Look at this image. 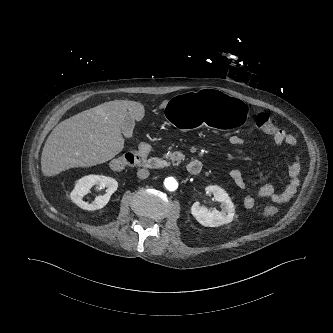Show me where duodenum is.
<instances>
[{"label":"duodenum","instance_id":"1","mask_svg":"<svg viewBox=\"0 0 333 333\" xmlns=\"http://www.w3.org/2000/svg\"><path fill=\"white\" fill-rule=\"evenodd\" d=\"M143 166L151 170H161L166 167V161L161 158H149L143 162ZM186 167L189 174L197 176L201 173L203 165L198 159H192Z\"/></svg>","mask_w":333,"mask_h":333}]
</instances>
